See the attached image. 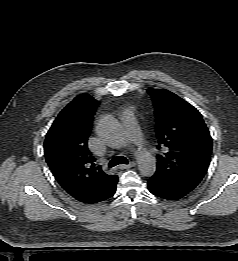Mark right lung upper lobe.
<instances>
[{
    "label": "right lung upper lobe",
    "instance_id": "right-lung-upper-lobe-1",
    "mask_svg": "<svg viewBox=\"0 0 238 261\" xmlns=\"http://www.w3.org/2000/svg\"><path fill=\"white\" fill-rule=\"evenodd\" d=\"M99 102L87 93L74 98L57 116L44 142V155L61 187L91 204L118 180L95 164L88 149L91 121Z\"/></svg>",
    "mask_w": 238,
    "mask_h": 261
}]
</instances>
